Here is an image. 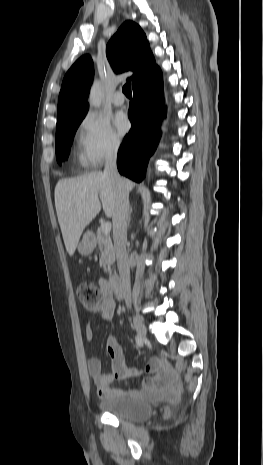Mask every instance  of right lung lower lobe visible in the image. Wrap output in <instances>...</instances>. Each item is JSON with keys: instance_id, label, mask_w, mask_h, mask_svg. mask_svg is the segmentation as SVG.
<instances>
[{"instance_id": "right-lung-lower-lobe-1", "label": "right lung lower lobe", "mask_w": 263, "mask_h": 465, "mask_svg": "<svg viewBox=\"0 0 263 465\" xmlns=\"http://www.w3.org/2000/svg\"><path fill=\"white\" fill-rule=\"evenodd\" d=\"M133 93L134 98L129 104L131 130L120 146L117 167L121 174L140 182L158 145L160 125L165 116L161 70L158 68L135 84Z\"/></svg>"}]
</instances>
